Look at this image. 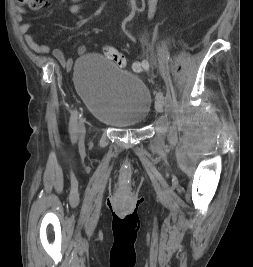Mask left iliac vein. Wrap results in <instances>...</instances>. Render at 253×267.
Wrapping results in <instances>:
<instances>
[{
  "label": "left iliac vein",
  "instance_id": "1",
  "mask_svg": "<svg viewBox=\"0 0 253 267\" xmlns=\"http://www.w3.org/2000/svg\"><path fill=\"white\" fill-rule=\"evenodd\" d=\"M155 108H156V111L158 113H162L163 112V105H162V102L161 100H157L156 103H155Z\"/></svg>",
  "mask_w": 253,
  "mask_h": 267
}]
</instances>
